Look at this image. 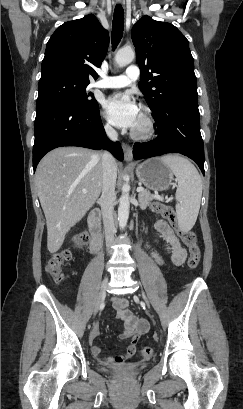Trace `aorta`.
I'll use <instances>...</instances> for the list:
<instances>
[{
  "label": "aorta",
  "instance_id": "762f6f07",
  "mask_svg": "<svg viewBox=\"0 0 243 409\" xmlns=\"http://www.w3.org/2000/svg\"><path fill=\"white\" fill-rule=\"evenodd\" d=\"M135 58V52L131 47H124L120 49L116 56L115 62L119 67H124L130 64ZM128 176H125L124 179H128ZM129 190L130 186L127 183H124L122 186V195L119 199V207H118V222L119 227L121 229L125 228L128 217H129Z\"/></svg>",
  "mask_w": 243,
  "mask_h": 409
}]
</instances>
